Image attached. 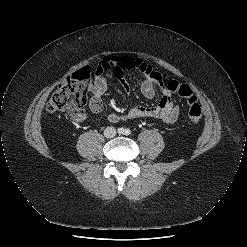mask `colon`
<instances>
[{"label": "colon", "instance_id": "1", "mask_svg": "<svg viewBox=\"0 0 247 247\" xmlns=\"http://www.w3.org/2000/svg\"><path fill=\"white\" fill-rule=\"evenodd\" d=\"M91 71L84 67L63 80L47 103L49 112L78 113L87 102L88 83ZM171 94L184 98L188 106V118L193 124H197L202 117V108L192 89L177 81H170L167 84Z\"/></svg>", "mask_w": 247, "mask_h": 247}]
</instances>
